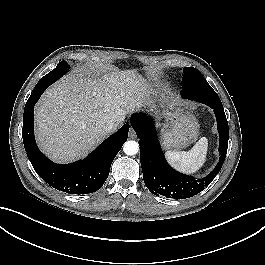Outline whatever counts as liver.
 <instances>
[{"label": "liver", "instance_id": "1", "mask_svg": "<svg viewBox=\"0 0 265 265\" xmlns=\"http://www.w3.org/2000/svg\"><path fill=\"white\" fill-rule=\"evenodd\" d=\"M153 105L150 89L135 70L102 76H71L48 88L35 107V134L53 161L85 157L107 136L105 126L121 125L134 108Z\"/></svg>", "mask_w": 265, "mask_h": 265}]
</instances>
